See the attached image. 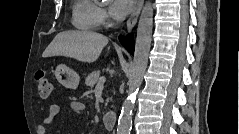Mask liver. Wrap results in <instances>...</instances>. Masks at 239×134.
Returning <instances> with one entry per match:
<instances>
[{"instance_id": "liver-1", "label": "liver", "mask_w": 239, "mask_h": 134, "mask_svg": "<svg viewBox=\"0 0 239 134\" xmlns=\"http://www.w3.org/2000/svg\"><path fill=\"white\" fill-rule=\"evenodd\" d=\"M107 43L108 38L97 32L66 31L55 36L42 56H65L91 63L98 59Z\"/></svg>"}]
</instances>
